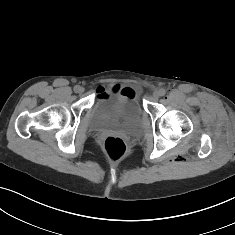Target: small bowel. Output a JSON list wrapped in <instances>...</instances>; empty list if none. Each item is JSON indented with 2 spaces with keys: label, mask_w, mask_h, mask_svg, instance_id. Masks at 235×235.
I'll return each instance as SVG.
<instances>
[{
  "label": "small bowel",
  "mask_w": 235,
  "mask_h": 235,
  "mask_svg": "<svg viewBox=\"0 0 235 235\" xmlns=\"http://www.w3.org/2000/svg\"><path fill=\"white\" fill-rule=\"evenodd\" d=\"M109 89H117L119 90L120 92H123L124 94L126 95H135V91L129 87H124V88H121L120 86L116 85V86H113L112 88H108V87H98L97 88V94L99 96L101 95H104L107 93V91Z\"/></svg>",
  "instance_id": "c3829d8e"
}]
</instances>
